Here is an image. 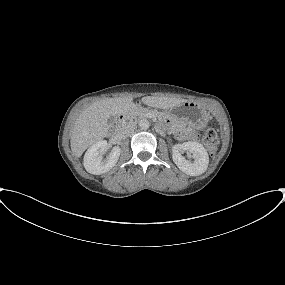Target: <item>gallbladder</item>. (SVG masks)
<instances>
[{"instance_id":"obj_1","label":"gallbladder","mask_w":285,"mask_h":285,"mask_svg":"<svg viewBox=\"0 0 285 285\" xmlns=\"http://www.w3.org/2000/svg\"><path fill=\"white\" fill-rule=\"evenodd\" d=\"M113 122H114V118H113V117H110V118L108 119V123H109V124H113Z\"/></svg>"}]
</instances>
